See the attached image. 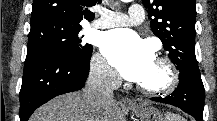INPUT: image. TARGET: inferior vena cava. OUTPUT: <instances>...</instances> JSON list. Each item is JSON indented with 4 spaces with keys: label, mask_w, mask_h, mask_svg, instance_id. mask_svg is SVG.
<instances>
[{
    "label": "inferior vena cava",
    "mask_w": 217,
    "mask_h": 121,
    "mask_svg": "<svg viewBox=\"0 0 217 121\" xmlns=\"http://www.w3.org/2000/svg\"><path fill=\"white\" fill-rule=\"evenodd\" d=\"M120 83L117 74L105 63L92 67L83 90L87 104L99 109L113 103V91Z\"/></svg>",
    "instance_id": "inferior-vena-cava-1"
}]
</instances>
